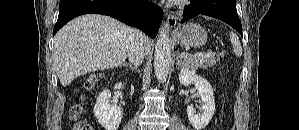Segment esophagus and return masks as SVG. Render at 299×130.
Segmentation results:
<instances>
[{
  "instance_id": "1",
  "label": "esophagus",
  "mask_w": 299,
  "mask_h": 130,
  "mask_svg": "<svg viewBox=\"0 0 299 130\" xmlns=\"http://www.w3.org/2000/svg\"><path fill=\"white\" fill-rule=\"evenodd\" d=\"M177 21H178L177 16H175L171 13L167 14V18H166V21H165V24H164L165 28L168 29V30L173 28L177 24Z\"/></svg>"
}]
</instances>
